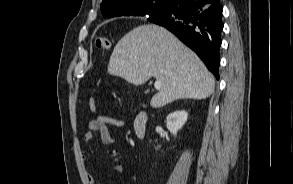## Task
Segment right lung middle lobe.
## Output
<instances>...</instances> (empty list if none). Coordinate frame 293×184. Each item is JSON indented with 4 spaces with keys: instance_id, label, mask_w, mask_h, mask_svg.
I'll return each mask as SVG.
<instances>
[{
    "instance_id": "dd1d6c3e",
    "label": "right lung middle lobe",
    "mask_w": 293,
    "mask_h": 184,
    "mask_svg": "<svg viewBox=\"0 0 293 184\" xmlns=\"http://www.w3.org/2000/svg\"><path fill=\"white\" fill-rule=\"evenodd\" d=\"M142 16H145V15H148L150 16L148 19H157L159 18L162 13L159 12V9H149V10H144L142 13H141Z\"/></svg>"
}]
</instances>
